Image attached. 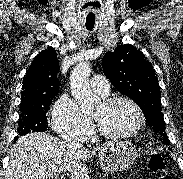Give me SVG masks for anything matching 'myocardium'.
Returning <instances> with one entry per match:
<instances>
[{
    "mask_svg": "<svg viewBox=\"0 0 183 179\" xmlns=\"http://www.w3.org/2000/svg\"><path fill=\"white\" fill-rule=\"evenodd\" d=\"M118 102L129 103L136 110L138 117H139V123L132 131L125 132V133H111V132H108V131L102 129L100 127V125L98 124V122L95 120L96 129H97L98 133L109 139H125V138L133 137V136L137 135L145 127V124H146V117H145V113H144L142 107L134 99H132L128 96L109 97V98L104 99L102 103L106 107H110Z\"/></svg>",
    "mask_w": 183,
    "mask_h": 179,
    "instance_id": "f54148a6",
    "label": "myocardium"
}]
</instances>
